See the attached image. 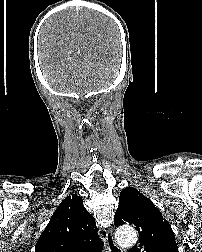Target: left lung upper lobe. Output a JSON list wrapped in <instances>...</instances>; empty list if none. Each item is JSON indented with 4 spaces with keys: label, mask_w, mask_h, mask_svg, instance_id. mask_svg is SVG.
Wrapping results in <instances>:
<instances>
[{
    "label": "left lung upper lobe",
    "mask_w": 202,
    "mask_h": 252,
    "mask_svg": "<svg viewBox=\"0 0 202 252\" xmlns=\"http://www.w3.org/2000/svg\"><path fill=\"white\" fill-rule=\"evenodd\" d=\"M115 226L134 225L139 241L129 252H178L170 224L155 205L137 189L128 187L119 196Z\"/></svg>",
    "instance_id": "obj_1"
}]
</instances>
